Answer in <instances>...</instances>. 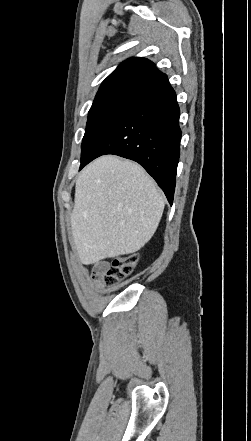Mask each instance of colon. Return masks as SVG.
Returning <instances> with one entry per match:
<instances>
[{"label":"colon","mask_w":251,"mask_h":441,"mask_svg":"<svg viewBox=\"0 0 251 441\" xmlns=\"http://www.w3.org/2000/svg\"><path fill=\"white\" fill-rule=\"evenodd\" d=\"M138 262L136 253H127L116 256L103 274V283L106 286H114L119 281L129 276Z\"/></svg>","instance_id":"colon-1"}]
</instances>
